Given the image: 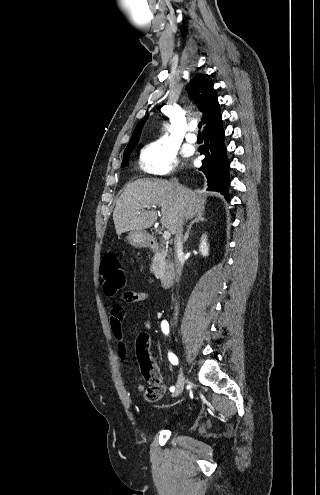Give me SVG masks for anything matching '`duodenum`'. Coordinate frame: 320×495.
<instances>
[{
	"mask_svg": "<svg viewBox=\"0 0 320 495\" xmlns=\"http://www.w3.org/2000/svg\"><path fill=\"white\" fill-rule=\"evenodd\" d=\"M149 247L152 250L160 252L164 257L162 273L160 276V282L163 287H169L173 283L175 278V266L170 259L168 253L164 248H162L156 240H151L149 242Z\"/></svg>",
	"mask_w": 320,
	"mask_h": 495,
	"instance_id": "duodenum-1",
	"label": "duodenum"
}]
</instances>
